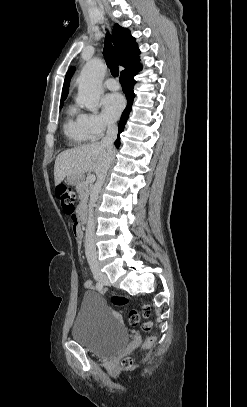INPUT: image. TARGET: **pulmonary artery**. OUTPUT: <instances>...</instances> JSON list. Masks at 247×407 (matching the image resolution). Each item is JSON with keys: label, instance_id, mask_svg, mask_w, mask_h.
<instances>
[{"label": "pulmonary artery", "instance_id": "pulmonary-artery-1", "mask_svg": "<svg viewBox=\"0 0 247 407\" xmlns=\"http://www.w3.org/2000/svg\"><path fill=\"white\" fill-rule=\"evenodd\" d=\"M104 86L109 90H118L119 84L116 80L109 78L104 82Z\"/></svg>", "mask_w": 247, "mask_h": 407}]
</instances>
